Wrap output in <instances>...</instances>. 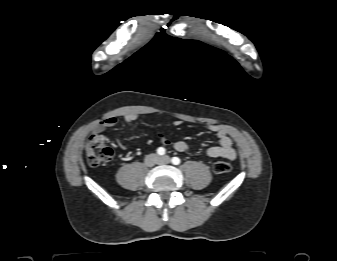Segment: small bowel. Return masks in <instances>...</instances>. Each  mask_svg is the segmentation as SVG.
<instances>
[{
    "instance_id": "small-bowel-1",
    "label": "small bowel",
    "mask_w": 337,
    "mask_h": 261,
    "mask_svg": "<svg viewBox=\"0 0 337 261\" xmlns=\"http://www.w3.org/2000/svg\"><path fill=\"white\" fill-rule=\"evenodd\" d=\"M126 126L131 125L134 121L138 119V115L135 113H128L123 117ZM117 123L116 117H108L96 126L97 132H102L103 130L115 126ZM182 122L175 121L174 125L179 126ZM208 129L213 132L219 140V145L212 146L207 150V155L211 158L225 157L229 160H234L236 157V152L233 148V142L227 131L221 126L211 124ZM160 142L164 145H171L173 148L179 152H188L190 146L187 142L182 140H172L166 133H159Z\"/></svg>"
}]
</instances>
